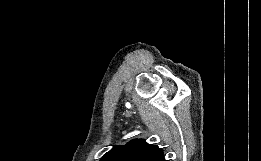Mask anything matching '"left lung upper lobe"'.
<instances>
[{
    "label": "left lung upper lobe",
    "instance_id": "obj_1",
    "mask_svg": "<svg viewBox=\"0 0 261 161\" xmlns=\"http://www.w3.org/2000/svg\"><path fill=\"white\" fill-rule=\"evenodd\" d=\"M162 154L157 145L135 139L125 145H114L100 161H157Z\"/></svg>",
    "mask_w": 261,
    "mask_h": 161
}]
</instances>
